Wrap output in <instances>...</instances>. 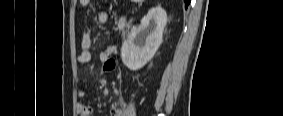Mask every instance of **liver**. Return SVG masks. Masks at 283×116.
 Wrapping results in <instances>:
<instances>
[{
    "mask_svg": "<svg viewBox=\"0 0 283 116\" xmlns=\"http://www.w3.org/2000/svg\"><path fill=\"white\" fill-rule=\"evenodd\" d=\"M136 2L142 1V0H135Z\"/></svg>",
    "mask_w": 283,
    "mask_h": 116,
    "instance_id": "6515ba94",
    "label": "liver"
}]
</instances>
